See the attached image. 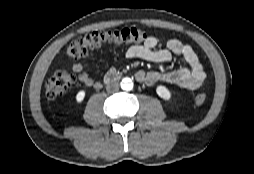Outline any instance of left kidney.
Returning a JSON list of instances; mask_svg holds the SVG:
<instances>
[{"label":"left kidney","mask_w":254,"mask_h":174,"mask_svg":"<svg viewBox=\"0 0 254 174\" xmlns=\"http://www.w3.org/2000/svg\"><path fill=\"white\" fill-rule=\"evenodd\" d=\"M156 93L158 94L159 97H161L164 100L171 99V92L163 85L157 86Z\"/></svg>","instance_id":"left-kidney-1"}]
</instances>
